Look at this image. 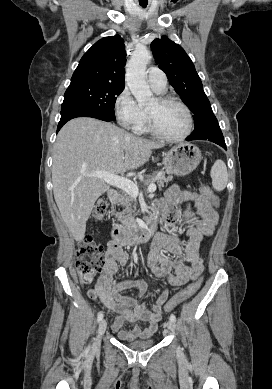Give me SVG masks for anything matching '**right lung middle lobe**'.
I'll return each instance as SVG.
<instances>
[{
	"instance_id": "right-lung-middle-lobe-1",
	"label": "right lung middle lobe",
	"mask_w": 272,
	"mask_h": 389,
	"mask_svg": "<svg viewBox=\"0 0 272 389\" xmlns=\"http://www.w3.org/2000/svg\"><path fill=\"white\" fill-rule=\"evenodd\" d=\"M123 89L124 86L107 83H72L64 94L62 108L85 107L115 120L116 97L121 94Z\"/></svg>"
}]
</instances>
